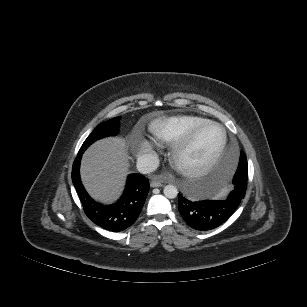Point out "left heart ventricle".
Returning <instances> with one entry per match:
<instances>
[{
  "label": "left heart ventricle",
  "mask_w": 307,
  "mask_h": 307,
  "mask_svg": "<svg viewBox=\"0 0 307 307\" xmlns=\"http://www.w3.org/2000/svg\"><path fill=\"white\" fill-rule=\"evenodd\" d=\"M221 131L210 126L204 129L193 144L180 156V162L187 166H196L207 161L221 142Z\"/></svg>",
  "instance_id": "1"
}]
</instances>
